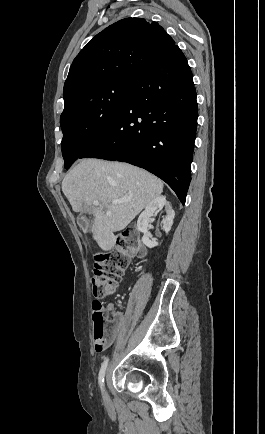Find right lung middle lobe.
Listing matches in <instances>:
<instances>
[{
  "instance_id": "dd1d6c3e",
  "label": "right lung middle lobe",
  "mask_w": 265,
  "mask_h": 434,
  "mask_svg": "<svg viewBox=\"0 0 265 434\" xmlns=\"http://www.w3.org/2000/svg\"><path fill=\"white\" fill-rule=\"evenodd\" d=\"M134 78L108 76L75 86L64 93L60 125L65 168L68 169L117 119Z\"/></svg>"
}]
</instances>
